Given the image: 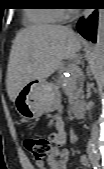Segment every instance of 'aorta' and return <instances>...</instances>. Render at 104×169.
<instances>
[{
    "mask_svg": "<svg viewBox=\"0 0 104 169\" xmlns=\"http://www.w3.org/2000/svg\"><path fill=\"white\" fill-rule=\"evenodd\" d=\"M103 57H104V35L103 31H101L100 33H98L97 44L94 51V58L96 59L94 68L96 72H102Z\"/></svg>",
    "mask_w": 104,
    "mask_h": 169,
    "instance_id": "obj_1",
    "label": "aorta"
}]
</instances>
